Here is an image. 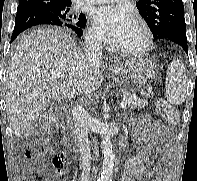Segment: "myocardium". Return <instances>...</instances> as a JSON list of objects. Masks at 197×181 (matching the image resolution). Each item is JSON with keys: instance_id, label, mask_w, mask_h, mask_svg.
Segmentation results:
<instances>
[{"instance_id": "obj_1", "label": "myocardium", "mask_w": 197, "mask_h": 181, "mask_svg": "<svg viewBox=\"0 0 197 181\" xmlns=\"http://www.w3.org/2000/svg\"><path fill=\"white\" fill-rule=\"evenodd\" d=\"M134 23L140 28L143 34V41L142 43L135 48H127V47H122L119 45H115L114 49L124 55L127 56H141L144 55L151 47L152 42H153V34L148 26V24L140 19L136 18Z\"/></svg>"}]
</instances>
